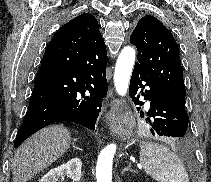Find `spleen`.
<instances>
[{
  "mask_svg": "<svg viewBox=\"0 0 211 182\" xmlns=\"http://www.w3.org/2000/svg\"><path fill=\"white\" fill-rule=\"evenodd\" d=\"M140 163L146 174L157 182H189L188 173L180 158L164 145L142 142Z\"/></svg>",
  "mask_w": 211,
  "mask_h": 182,
  "instance_id": "1",
  "label": "spleen"
}]
</instances>
